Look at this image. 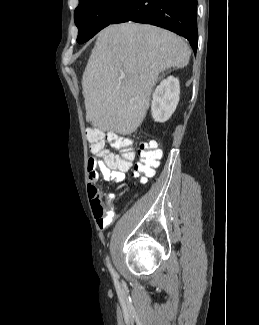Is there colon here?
I'll return each instance as SVG.
<instances>
[{
	"label": "colon",
	"mask_w": 259,
	"mask_h": 325,
	"mask_svg": "<svg viewBox=\"0 0 259 325\" xmlns=\"http://www.w3.org/2000/svg\"><path fill=\"white\" fill-rule=\"evenodd\" d=\"M86 136L90 144V150L95 154L101 155L105 152L106 142L116 149L119 152L118 165L120 168H130L135 154L138 153L140 159L133 166L132 175L140 177L143 181L152 177L159 165L162 152L157 143H152V141L142 142L134 149L130 138L115 133L104 134L98 129L89 128L86 131Z\"/></svg>",
	"instance_id": "obj_1"
}]
</instances>
